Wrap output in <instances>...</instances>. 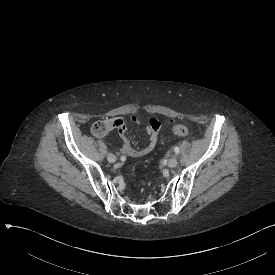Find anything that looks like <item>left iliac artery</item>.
<instances>
[{"label": "left iliac artery", "instance_id": "left-iliac-artery-1", "mask_svg": "<svg viewBox=\"0 0 275 275\" xmlns=\"http://www.w3.org/2000/svg\"><path fill=\"white\" fill-rule=\"evenodd\" d=\"M174 152H175V154H179L180 153V150H179V148L177 146L174 147Z\"/></svg>", "mask_w": 275, "mask_h": 275}]
</instances>
